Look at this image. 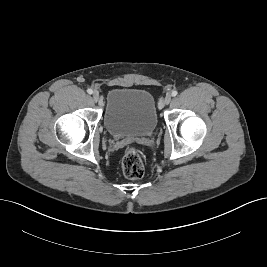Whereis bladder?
<instances>
[{
  "label": "bladder",
  "mask_w": 267,
  "mask_h": 267,
  "mask_svg": "<svg viewBox=\"0 0 267 267\" xmlns=\"http://www.w3.org/2000/svg\"><path fill=\"white\" fill-rule=\"evenodd\" d=\"M103 123L113 137L150 135L157 125L153 95L147 90L137 88L109 90L105 100Z\"/></svg>",
  "instance_id": "1"
}]
</instances>
